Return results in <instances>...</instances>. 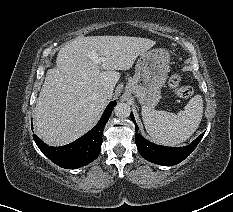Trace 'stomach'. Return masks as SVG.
<instances>
[{"mask_svg": "<svg viewBox=\"0 0 233 212\" xmlns=\"http://www.w3.org/2000/svg\"><path fill=\"white\" fill-rule=\"evenodd\" d=\"M170 54L166 49H148L140 53L135 74L128 81L125 91L134 94L143 106H156L161 98L169 71Z\"/></svg>", "mask_w": 233, "mask_h": 212, "instance_id": "stomach-1", "label": "stomach"}]
</instances>
